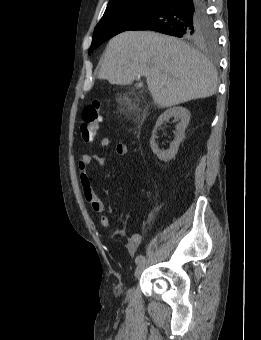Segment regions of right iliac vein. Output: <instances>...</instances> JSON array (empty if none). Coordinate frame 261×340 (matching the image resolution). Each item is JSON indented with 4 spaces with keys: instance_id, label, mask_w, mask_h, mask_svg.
Here are the masks:
<instances>
[{
    "instance_id": "63e3f726",
    "label": "right iliac vein",
    "mask_w": 261,
    "mask_h": 340,
    "mask_svg": "<svg viewBox=\"0 0 261 340\" xmlns=\"http://www.w3.org/2000/svg\"><path fill=\"white\" fill-rule=\"evenodd\" d=\"M152 258H146L141 263H139L135 269L134 276L138 277L151 263ZM131 294V290L128 291L127 296L129 297Z\"/></svg>"
}]
</instances>
